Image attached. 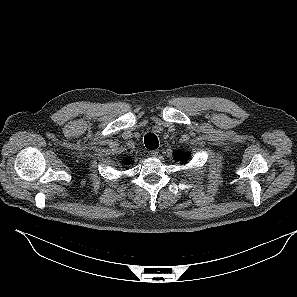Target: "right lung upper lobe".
Returning a JSON list of instances; mask_svg holds the SVG:
<instances>
[{"label": "right lung upper lobe", "instance_id": "1", "mask_svg": "<svg viewBox=\"0 0 297 297\" xmlns=\"http://www.w3.org/2000/svg\"><path fill=\"white\" fill-rule=\"evenodd\" d=\"M125 162V164H128L129 162H130V160H126V161H124Z\"/></svg>", "mask_w": 297, "mask_h": 297}]
</instances>
